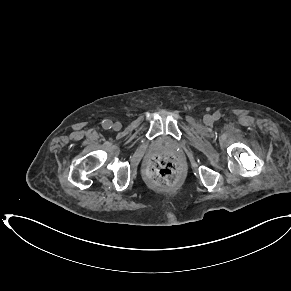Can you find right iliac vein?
<instances>
[{"label":"right iliac vein","instance_id":"63e3f726","mask_svg":"<svg viewBox=\"0 0 291 291\" xmlns=\"http://www.w3.org/2000/svg\"><path fill=\"white\" fill-rule=\"evenodd\" d=\"M113 129H114L115 131L120 130V129H121V124H120L119 122L114 123V125H113Z\"/></svg>","mask_w":291,"mask_h":291}]
</instances>
